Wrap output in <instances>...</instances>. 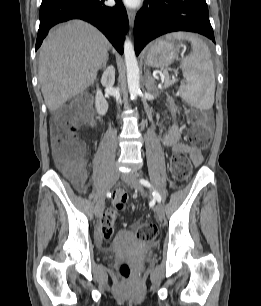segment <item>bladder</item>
Masks as SVG:
<instances>
[{
  "label": "bladder",
  "mask_w": 261,
  "mask_h": 306,
  "mask_svg": "<svg viewBox=\"0 0 261 306\" xmlns=\"http://www.w3.org/2000/svg\"><path fill=\"white\" fill-rule=\"evenodd\" d=\"M132 239V235L129 232L126 231H121L118 234L116 243H115V249L113 251L107 252L105 255V258L108 260L111 257H113V255L116 252H127V247L129 245L128 240Z\"/></svg>",
  "instance_id": "bladder-1"
}]
</instances>
